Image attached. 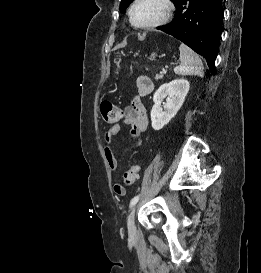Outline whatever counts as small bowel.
<instances>
[{
    "label": "small bowel",
    "mask_w": 261,
    "mask_h": 273,
    "mask_svg": "<svg viewBox=\"0 0 261 273\" xmlns=\"http://www.w3.org/2000/svg\"><path fill=\"white\" fill-rule=\"evenodd\" d=\"M137 95L133 98L131 105L125 107L122 111L123 123L130 126V134L135 141L137 146L142 144L143 134L146 132L148 127V116L146 107L143 103V98L151 94L154 90V84L152 80L147 76H140L136 80ZM121 124L116 123L111 126L105 133V156L107 164L111 171H116L118 162L114 153L112 141L114 137L119 133ZM114 192L117 195H124L125 191L119 193L116 189V184L113 187Z\"/></svg>",
    "instance_id": "obj_1"
}]
</instances>
